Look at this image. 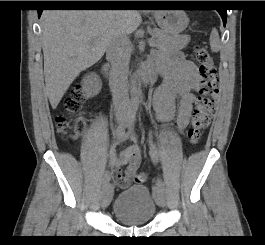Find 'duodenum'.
Here are the masks:
<instances>
[{
	"instance_id": "duodenum-1",
	"label": "duodenum",
	"mask_w": 265,
	"mask_h": 245,
	"mask_svg": "<svg viewBox=\"0 0 265 245\" xmlns=\"http://www.w3.org/2000/svg\"><path fill=\"white\" fill-rule=\"evenodd\" d=\"M104 73H106L108 77V85H109L110 90L113 93H120L121 92L120 85L118 81L116 80V78L110 74L109 65H106L104 67ZM155 73H156V70L154 69V67H152L150 64H143L141 66V76L137 79V81H139L140 83L144 85H148L152 81Z\"/></svg>"
}]
</instances>
